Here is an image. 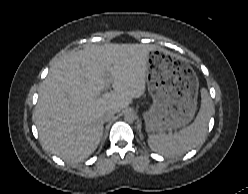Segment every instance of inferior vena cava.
<instances>
[{"mask_svg":"<svg viewBox=\"0 0 248 194\" xmlns=\"http://www.w3.org/2000/svg\"><path fill=\"white\" fill-rule=\"evenodd\" d=\"M115 113H116V111H114V110H110V111L106 112L104 115V120L105 121L111 120L114 117Z\"/></svg>","mask_w":248,"mask_h":194,"instance_id":"obj_1","label":"inferior vena cava"}]
</instances>
